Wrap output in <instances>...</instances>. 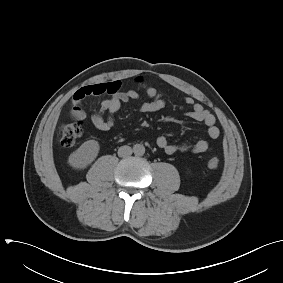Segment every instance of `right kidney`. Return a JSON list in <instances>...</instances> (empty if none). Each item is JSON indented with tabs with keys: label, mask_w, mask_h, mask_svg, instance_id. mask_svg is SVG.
<instances>
[{
	"label": "right kidney",
	"mask_w": 283,
	"mask_h": 283,
	"mask_svg": "<svg viewBox=\"0 0 283 283\" xmlns=\"http://www.w3.org/2000/svg\"><path fill=\"white\" fill-rule=\"evenodd\" d=\"M99 149L97 141H86L69 156L68 162L75 169H83L97 157Z\"/></svg>",
	"instance_id": "obj_1"
}]
</instances>
